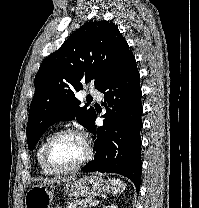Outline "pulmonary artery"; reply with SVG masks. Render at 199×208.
I'll use <instances>...</instances> for the list:
<instances>
[{
  "instance_id": "e3ab8cb5",
  "label": "pulmonary artery",
  "mask_w": 199,
  "mask_h": 208,
  "mask_svg": "<svg viewBox=\"0 0 199 208\" xmlns=\"http://www.w3.org/2000/svg\"><path fill=\"white\" fill-rule=\"evenodd\" d=\"M89 93L97 100V101H102L103 97L102 94L97 90V89H90Z\"/></svg>"
}]
</instances>
